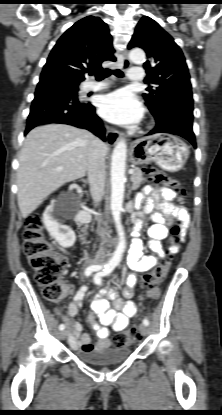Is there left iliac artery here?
<instances>
[{
  "label": "left iliac artery",
  "instance_id": "44dca946",
  "mask_svg": "<svg viewBox=\"0 0 222 415\" xmlns=\"http://www.w3.org/2000/svg\"><path fill=\"white\" fill-rule=\"evenodd\" d=\"M115 266L110 264V265H106L105 269H103L101 272L97 273L94 277V282L98 285L102 284V277L109 275L113 270H114ZM143 324L145 325H149V321L148 319H144L143 320Z\"/></svg>",
  "mask_w": 222,
  "mask_h": 415
}]
</instances>
